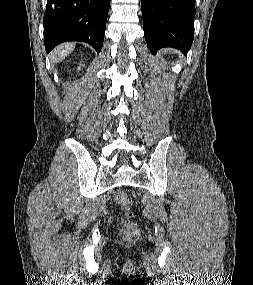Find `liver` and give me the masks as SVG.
Returning a JSON list of instances; mask_svg holds the SVG:
<instances>
[{"label": "liver", "mask_w": 253, "mask_h": 285, "mask_svg": "<svg viewBox=\"0 0 253 285\" xmlns=\"http://www.w3.org/2000/svg\"><path fill=\"white\" fill-rule=\"evenodd\" d=\"M75 48V44L67 43L57 47L52 54V61L54 63L62 61L68 54L71 53Z\"/></svg>", "instance_id": "obj_1"}]
</instances>
